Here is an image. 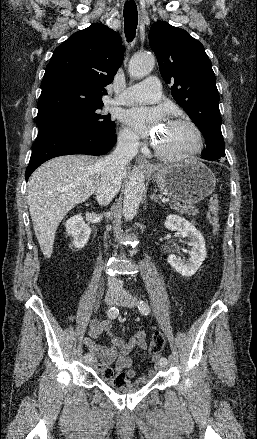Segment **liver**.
<instances>
[{"instance_id": "1", "label": "liver", "mask_w": 257, "mask_h": 439, "mask_svg": "<svg viewBox=\"0 0 257 439\" xmlns=\"http://www.w3.org/2000/svg\"><path fill=\"white\" fill-rule=\"evenodd\" d=\"M102 159L66 155L40 166L28 181L27 203L43 255L50 258L57 227L77 204L96 191Z\"/></svg>"}]
</instances>
